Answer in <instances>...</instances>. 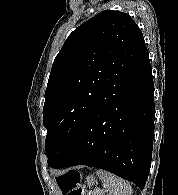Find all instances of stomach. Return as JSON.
Segmentation results:
<instances>
[{"label": "stomach", "instance_id": "obj_1", "mask_svg": "<svg viewBox=\"0 0 178 195\" xmlns=\"http://www.w3.org/2000/svg\"><path fill=\"white\" fill-rule=\"evenodd\" d=\"M95 182L96 181H95V178L93 176H88L86 178V184H87L88 187H91L92 185H94Z\"/></svg>", "mask_w": 178, "mask_h": 195}]
</instances>
